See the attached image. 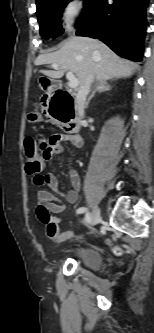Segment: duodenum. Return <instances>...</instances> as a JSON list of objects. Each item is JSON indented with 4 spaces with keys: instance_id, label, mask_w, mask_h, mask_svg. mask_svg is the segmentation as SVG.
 <instances>
[{
    "instance_id": "obj_1",
    "label": "duodenum",
    "mask_w": 154,
    "mask_h": 333,
    "mask_svg": "<svg viewBox=\"0 0 154 333\" xmlns=\"http://www.w3.org/2000/svg\"><path fill=\"white\" fill-rule=\"evenodd\" d=\"M62 91L67 92L63 90L62 85L58 81H53L49 83V96L55 97L57 93ZM69 95H70V100L66 105L59 103L58 108L51 107L50 113L54 118H59V119L60 117L67 118L69 122L68 127L71 128L70 133L73 135H79L78 134L79 121L78 119L74 118V116H71V114L73 113L74 98L70 93Z\"/></svg>"
}]
</instances>
